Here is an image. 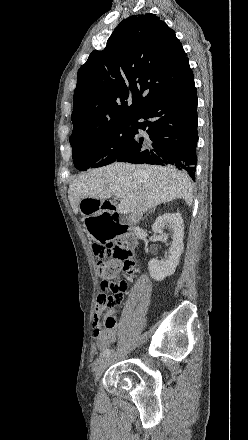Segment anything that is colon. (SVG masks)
I'll use <instances>...</instances> for the list:
<instances>
[{
    "instance_id": "obj_1",
    "label": "colon",
    "mask_w": 248,
    "mask_h": 440,
    "mask_svg": "<svg viewBox=\"0 0 248 440\" xmlns=\"http://www.w3.org/2000/svg\"><path fill=\"white\" fill-rule=\"evenodd\" d=\"M93 251L99 259V273L104 278L101 292L97 296L96 307L112 309L121 302L128 289V283L118 279L117 276L121 272L132 274L135 270V262L131 251L120 243L108 242V246H94ZM105 323L112 326L115 319L108 317Z\"/></svg>"
}]
</instances>
